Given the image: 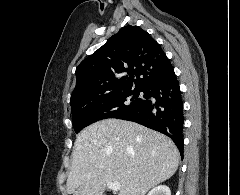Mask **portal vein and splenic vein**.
Here are the masks:
<instances>
[{
	"mask_svg": "<svg viewBox=\"0 0 240 195\" xmlns=\"http://www.w3.org/2000/svg\"><path fill=\"white\" fill-rule=\"evenodd\" d=\"M87 177H90V173H88ZM106 185L109 189H113V191H119L121 187L120 181H107Z\"/></svg>",
	"mask_w": 240,
	"mask_h": 195,
	"instance_id": "obj_1",
	"label": "portal vein and splenic vein"
}]
</instances>
